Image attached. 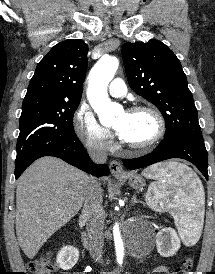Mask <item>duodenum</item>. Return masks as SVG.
Listing matches in <instances>:
<instances>
[{
  "label": "duodenum",
  "mask_w": 215,
  "mask_h": 274,
  "mask_svg": "<svg viewBox=\"0 0 215 274\" xmlns=\"http://www.w3.org/2000/svg\"><path fill=\"white\" fill-rule=\"evenodd\" d=\"M83 245L92 253L93 257L99 258V252L94 248L85 232H81Z\"/></svg>",
  "instance_id": "410a0bca"
}]
</instances>
